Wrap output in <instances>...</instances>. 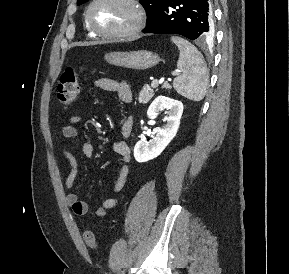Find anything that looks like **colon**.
Masks as SVG:
<instances>
[{"mask_svg": "<svg viewBox=\"0 0 289 274\" xmlns=\"http://www.w3.org/2000/svg\"><path fill=\"white\" fill-rule=\"evenodd\" d=\"M81 75L82 70L74 68H66L60 75L56 96L62 106L68 107L76 99ZM83 239L88 247L95 248L97 246V239L92 230H84Z\"/></svg>", "mask_w": 289, "mask_h": 274, "instance_id": "1", "label": "colon"}]
</instances>
